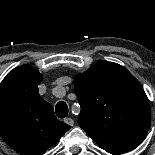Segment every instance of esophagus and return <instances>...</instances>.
Listing matches in <instances>:
<instances>
[{
  "label": "esophagus",
  "instance_id": "34e87169",
  "mask_svg": "<svg viewBox=\"0 0 155 155\" xmlns=\"http://www.w3.org/2000/svg\"><path fill=\"white\" fill-rule=\"evenodd\" d=\"M64 122L66 124H68L69 126H73L74 125V120L72 118H66V119H64Z\"/></svg>",
  "mask_w": 155,
  "mask_h": 155
}]
</instances>
